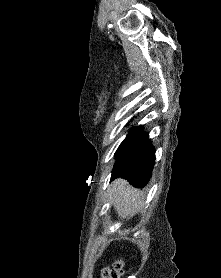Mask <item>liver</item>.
Returning a JSON list of instances; mask_svg holds the SVG:
<instances>
[{
	"instance_id": "liver-1",
	"label": "liver",
	"mask_w": 221,
	"mask_h": 278,
	"mask_svg": "<svg viewBox=\"0 0 221 278\" xmlns=\"http://www.w3.org/2000/svg\"><path fill=\"white\" fill-rule=\"evenodd\" d=\"M109 195L119 217L133 215L141 205L140 191L123 179H117L111 184Z\"/></svg>"
}]
</instances>
